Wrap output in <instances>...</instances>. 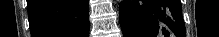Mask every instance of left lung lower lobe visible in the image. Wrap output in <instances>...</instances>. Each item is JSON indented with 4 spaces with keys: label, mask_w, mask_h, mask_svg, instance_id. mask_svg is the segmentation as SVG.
I'll list each match as a JSON object with an SVG mask.
<instances>
[{
    "label": "left lung lower lobe",
    "mask_w": 219,
    "mask_h": 37,
    "mask_svg": "<svg viewBox=\"0 0 219 37\" xmlns=\"http://www.w3.org/2000/svg\"><path fill=\"white\" fill-rule=\"evenodd\" d=\"M120 26L124 37H186L180 0H124Z\"/></svg>",
    "instance_id": "0a47b994"
}]
</instances>
